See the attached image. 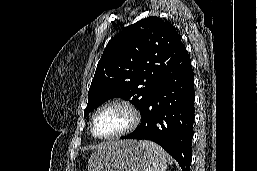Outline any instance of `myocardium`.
I'll return each mask as SVG.
<instances>
[{
	"label": "myocardium",
	"mask_w": 257,
	"mask_h": 171,
	"mask_svg": "<svg viewBox=\"0 0 257 171\" xmlns=\"http://www.w3.org/2000/svg\"><path fill=\"white\" fill-rule=\"evenodd\" d=\"M114 106L122 107L129 112V114L131 116V121H130L129 125L127 127H125L123 130H121L115 134H112V135H108V136L97 135L94 130V122H95L96 116L102 110L109 108V107H114ZM140 122H141V114H140L139 110L137 109V107L133 103H131L128 100H124V99H116V100H111L109 102L104 103L103 105H101L94 111V113L91 117V120H90V131H91V134L95 138H98V139H102V140L117 139V138H121V137L131 133L132 131H134L138 127Z\"/></svg>",
	"instance_id": "myocardium-1"
}]
</instances>
